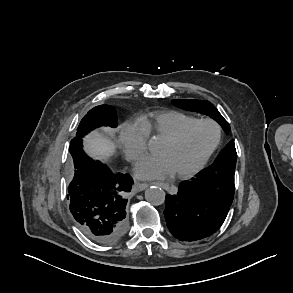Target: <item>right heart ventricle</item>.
Segmentation results:
<instances>
[{"label":"right heart ventricle","mask_w":293,"mask_h":293,"mask_svg":"<svg viewBox=\"0 0 293 293\" xmlns=\"http://www.w3.org/2000/svg\"><path fill=\"white\" fill-rule=\"evenodd\" d=\"M195 119L194 116L180 111L164 110L155 111L142 117L139 124L148 134L154 132L157 137L164 139Z\"/></svg>","instance_id":"e07e8e85"}]
</instances>
